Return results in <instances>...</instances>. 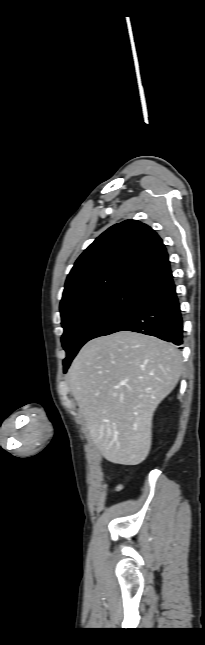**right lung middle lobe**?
Instances as JSON below:
<instances>
[{"instance_id": "dd1d6c3e", "label": "right lung middle lobe", "mask_w": 205, "mask_h": 645, "mask_svg": "<svg viewBox=\"0 0 205 645\" xmlns=\"http://www.w3.org/2000/svg\"><path fill=\"white\" fill-rule=\"evenodd\" d=\"M144 287L124 284L109 291L76 300L61 309L64 372L79 349L89 340L101 336L128 312L143 295Z\"/></svg>"}]
</instances>
